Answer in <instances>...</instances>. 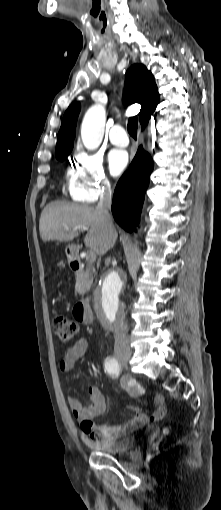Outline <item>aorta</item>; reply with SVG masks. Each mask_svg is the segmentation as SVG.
<instances>
[{
  "instance_id": "1",
  "label": "aorta",
  "mask_w": 221,
  "mask_h": 510,
  "mask_svg": "<svg viewBox=\"0 0 221 510\" xmlns=\"http://www.w3.org/2000/svg\"><path fill=\"white\" fill-rule=\"evenodd\" d=\"M106 122L103 106L93 105L85 114L81 125V138L87 149L94 150L102 142ZM125 281L118 271L109 272L101 281L95 294L96 308L108 325H115L122 318L121 294Z\"/></svg>"
}]
</instances>
